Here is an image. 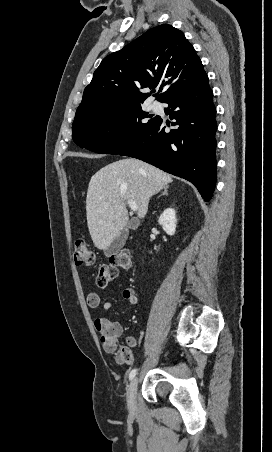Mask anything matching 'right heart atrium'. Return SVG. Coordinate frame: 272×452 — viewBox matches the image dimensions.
Wrapping results in <instances>:
<instances>
[{"label": "right heart atrium", "instance_id": "right-heart-atrium-1", "mask_svg": "<svg viewBox=\"0 0 272 452\" xmlns=\"http://www.w3.org/2000/svg\"><path fill=\"white\" fill-rule=\"evenodd\" d=\"M129 124V119L127 116L120 115L114 119L113 129L117 132H121L127 128Z\"/></svg>", "mask_w": 272, "mask_h": 452}]
</instances>
